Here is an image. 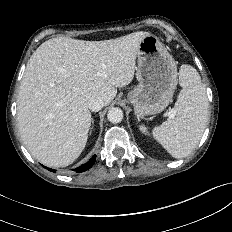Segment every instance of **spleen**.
I'll return each instance as SVG.
<instances>
[{"label":"spleen","instance_id":"3e777b00","mask_svg":"<svg viewBox=\"0 0 232 232\" xmlns=\"http://www.w3.org/2000/svg\"><path fill=\"white\" fill-rule=\"evenodd\" d=\"M179 83L183 87L175 103L176 117L168 119L153 130L154 138L174 158L191 153L200 141L208 121L206 88L197 70L182 65ZM142 132L146 128L140 127Z\"/></svg>","mask_w":232,"mask_h":232}]
</instances>
